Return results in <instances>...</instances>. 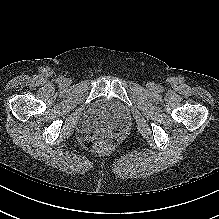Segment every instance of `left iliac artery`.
<instances>
[{"instance_id":"44dca946","label":"left iliac artery","mask_w":219,"mask_h":219,"mask_svg":"<svg viewBox=\"0 0 219 219\" xmlns=\"http://www.w3.org/2000/svg\"><path fill=\"white\" fill-rule=\"evenodd\" d=\"M158 89H159V91H162V90H163V87H162V86H159Z\"/></svg>"}]
</instances>
